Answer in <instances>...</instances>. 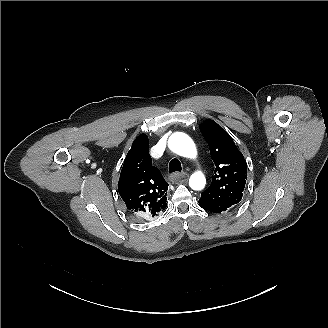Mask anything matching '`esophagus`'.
Wrapping results in <instances>:
<instances>
[{"label": "esophagus", "instance_id": "1", "mask_svg": "<svg viewBox=\"0 0 328 328\" xmlns=\"http://www.w3.org/2000/svg\"><path fill=\"white\" fill-rule=\"evenodd\" d=\"M186 175H187L186 173L175 172V173L170 174L169 177H170V179L175 180V179L183 178V177H185Z\"/></svg>", "mask_w": 328, "mask_h": 328}]
</instances>
